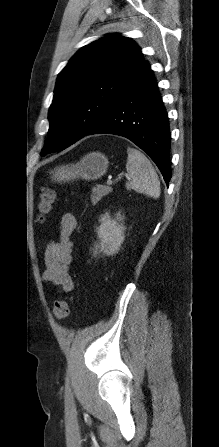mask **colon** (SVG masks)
<instances>
[{
    "label": "colon",
    "instance_id": "1",
    "mask_svg": "<svg viewBox=\"0 0 219 447\" xmlns=\"http://www.w3.org/2000/svg\"><path fill=\"white\" fill-rule=\"evenodd\" d=\"M56 194L54 190L50 188H44L40 195L38 202V218L43 220L50 213L52 204L55 200ZM53 314L56 319L63 320L70 314V304L66 300H57L54 303Z\"/></svg>",
    "mask_w": 219,
    "mask_h": 447
}]
</instances>
